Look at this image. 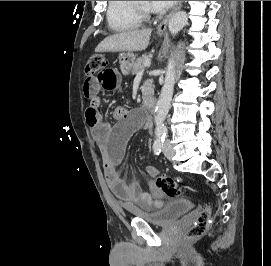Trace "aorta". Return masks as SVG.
Masks as SVG:
<instances>
[{
	"label": "aorta",
	"mask_w": 271,
	"mask_h": 266,
	"mask_svg": "<svg viewBox=\"0 0 271 266\" xmlns=\"http://www.w3.org/2000/svg\"><path fill=\"white\" fill-rule=\"evenodd\" d=\"M188 22V16L185 11L175 13L168 22V30L174 37L180 32ZM175 84V60L173 55L168 60L165 69L164 84L161 94L156 104L155 110V136L157 139L165 137L167 129L164 125L165 118L169 112Z\"/></svg>",
	"instance_id": "762f6f07"
}]
</instances>
